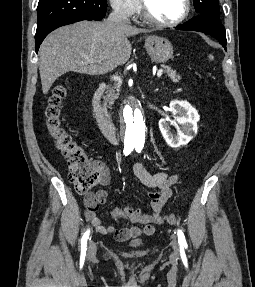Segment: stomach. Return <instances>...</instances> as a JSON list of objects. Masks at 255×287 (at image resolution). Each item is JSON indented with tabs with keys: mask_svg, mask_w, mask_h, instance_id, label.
I'll use <instances>...</instances> for the list:
<instances>
[{
	"mask_svg": "<svg viewBox=\"0 0 255 287\" xmlns=\"http://www.w3.org/2000/svg\"><path fill=\"white\" fill-rule=\"evenodd\" d=\"M145 48L152 62H157V64H164L173 56V46L167 38L148 36L145 40Z\"/></svg>",
	"mask_w": 255,
	"mask_h": 287,
	"instance_id": "obj_1",
	"label": "stomach"
}]
</instances>
